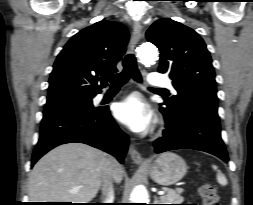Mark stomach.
Listing matches in <instances>:
<instances>
[{
  "label": "stomach",
  "mask_w": 253,
  "mask_h": 205,
  "mask_svg": "<svg viewBox=\"0 0 253 205\" xmlns=\"http://www.w3.org/2000/svg\"><path fill=\"white\" fill-rule=\"evenodd\" d=\"M151 178L168 186L181 180L187 172L185 161L175 153L165 152L146 166Z\"/></svg>",
  "instance_id": "1"
}]
</instances>
